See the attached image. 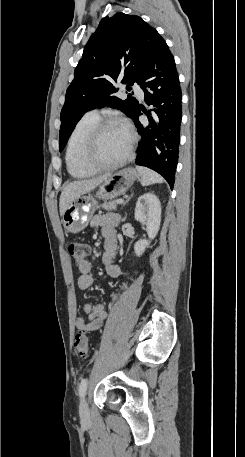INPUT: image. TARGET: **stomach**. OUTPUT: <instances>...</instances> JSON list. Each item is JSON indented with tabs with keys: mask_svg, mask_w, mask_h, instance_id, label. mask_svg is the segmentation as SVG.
<instances>
[{
	"mask_svg": "<svg viewBox=\"0 0 245 457\" xmlns=\"http://www.w3.org/2000/svg\"><path fill=\"white\" fill-rule=\"evenodd\" d=\"M140 176L136 168H122L117 170L108 176L107 180H103L99 184L97 194L98 198H115L119 194H124L125 190H128L129 186H132L134 180ZM93 194L85 192L80 194L78 198H74L70 204H68L63 214V224L66 229V233H80L87 226L93 212H95L96 202Z\"/></svg>",
	"mask_w": 245,
	"mask_h": 457,
	"instance_id": "obj_1",
	"label": "stomach"
}]
</instances>
